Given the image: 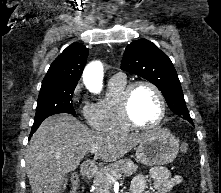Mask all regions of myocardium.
Listing matches in <instances>:
<instances>
[{"label": "myocardium", "mask_w": 221, "mask_h": 193, "mask_svg": "<svg viewBox=\"0 0 221 193\" xmlns=\"http://www.w3.org/2000/svg\"><path fill=\"white\" fill-rule=\"evenodd\" d=\"M139 86H148L149 88H151L157 95L159 103H160L159 116L157 120L150 125H142L136 122L131 112V99H132L135 89ZM120 107H121L123 118L126 121V123L130 127L135 128V129H140V130H153V129L158 128L162 124L166 116L165 97L162 91L160 90V88L149 80H137L128 84L126 88L124 89L123 94L121 96Z\"/></svg>", "instance_id": "f54148a6"}]
</instances>
